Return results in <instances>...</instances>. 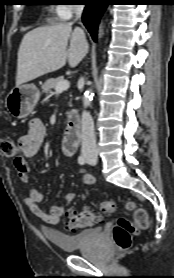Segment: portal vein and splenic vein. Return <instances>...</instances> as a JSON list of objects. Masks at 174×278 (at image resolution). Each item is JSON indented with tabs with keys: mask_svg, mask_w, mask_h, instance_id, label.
<instances>
[{
	"mask_svg": "<svg viewBox=\"0 0 174 278\" xmlns=\"http://www.w3.org/2000/svg\"><path fill=\"white\" fill-rule=\"evenodd\" d=\"M69 88V81L68 80H63L58 83V85L55 88L56 92H62L65 91Z\"/></svg>",
	"mask_w": 174,
	"mask_h": 278,
	"instance_id": "portal-vein-and-splenic-vein-1",
	"label": "portal vein and splenic vein"
}]
</instances>
